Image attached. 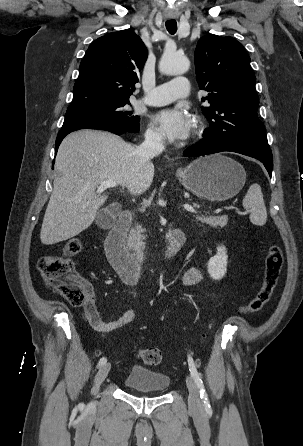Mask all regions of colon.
Returning <instances> with one entry per match:
<instances>
[{
  "label": "colon",
  "mask_w": 303,
  "mask_h": 446,
  "mask_svg": "<svg viewBox=\"0 0 303 446\" xmlns=\"http://www.w3.org/2000/svg\"><path fill=\"white\" fill-rule=\"evenodd\" d=\"M82 249L78 238H71L65 242L61 253L46 255L38 260L37 267L43 279L67 302L75 306H82L86 296L75 272L72 257ZM283 266V253L278 245L270 246L264 267L262 286L258 293L245 305L239 308L244 314L260 311L271 299L278 284ZM139 360L155 366L162 361V352L158 348L141 349L137 352Z\"/></svg>",
  "instance_id": "obj_1"
}]
</instances>
